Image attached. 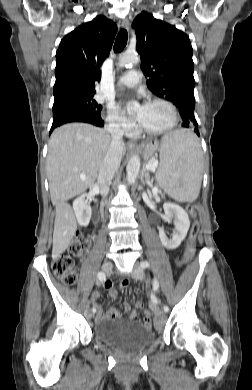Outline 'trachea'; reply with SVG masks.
Wrapping results in <instances>:
<instances>
[{
  "label": "trachea",
  "mask_w": 252,
  "mask_h": 390,
  "mask_svg": "<svg viewBox=\"0 0 252 390\" xmlns=\"http://www.w3.org/2000/svg\"><path fill=\"white\" fill-rule=\"evenodd\" d=\"M127 39H128L127 31L125 29L120 30L113 47L115 53H119L124 49V47L127 44Z\"/></svg>",
  "instance_id": "1"
}]
</instances>
